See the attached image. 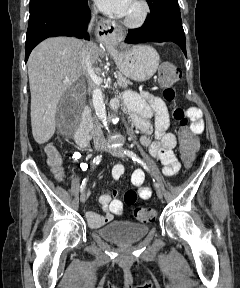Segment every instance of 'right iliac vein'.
Returning a JSON list of instances; mask_svg holds the SVG:
<instances>
[{
  "label": "right iliac vein",
  "mask_w": 240,
  "mask_h": 288,
  "mask_svg": "<svg viewBox=\"0 0 240 288\" xmlns=\"http://www.w3.org/2000/svg\"><path fill=\"white\" fill-rule=\"evenodd\" d=\"M103 148H104L103 145H97V146L95 147L96 151H100V150H102ZM85 199H86V192H85V190H83V191L81 192V195H80V201L83 203V202L85 201Z\"/></svg>",
  "instance_id": "obj_1"
}]
</instances>
